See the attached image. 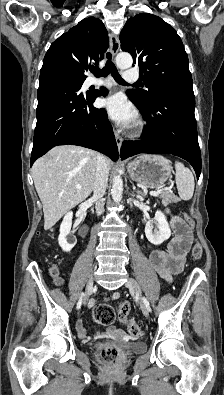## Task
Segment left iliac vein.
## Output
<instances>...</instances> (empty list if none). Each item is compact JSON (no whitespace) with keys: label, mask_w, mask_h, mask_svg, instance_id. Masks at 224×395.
Masks as SVG:
<instances>
[{"label":"left iliac vein","mask_w":224,"mask_h":395,"mask_svg":"<svg viewBox=\"0 0 224 395\" xmlns=\"http://www.w3.org/2000/svg\"><path fill=\"white\" fill-rule=\"evenodd\" d=\"M126 287L135 293V295L138 298V301H139V304H140V308H141L143 314L145 316H148L149 315V310H148V307L146 306V304H145V302L143 300L144 297L142 295V291H141V288H140L138 282L135 279L129 277L127 282H126Z\"/></svg>","instance_id":"left-iliac-vein-1"}]
</instances>
